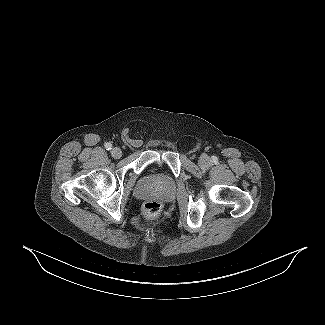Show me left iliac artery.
<instances>
[{
	"instance_id": "obj_1",
	"label": "left iliac artery",
	"mask_w": 325,
	"mask_h": 325,
	"mask_svg": "<svg viewBox=\"0 0 325 325\" xmlns=\"http://www.w3.org/2000/svg\"><path fill=\"white\" fill-rule=\"evenodd\" d=\"M212 160H213L214 162H216V161H217V157H216V156H212Z\"/></svg>"
}]
</instances>
